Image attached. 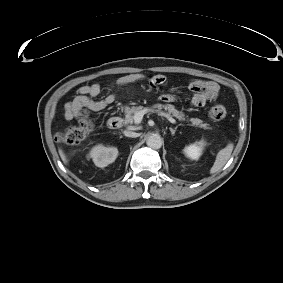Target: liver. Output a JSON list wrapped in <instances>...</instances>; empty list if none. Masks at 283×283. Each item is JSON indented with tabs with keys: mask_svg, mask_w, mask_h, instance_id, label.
<instances>
[{
	"mask_svg": "<svg viewBox=\"0 0 283 283\" xmlns=\"http://www.w3.org/2000/svg\"><path fill=\"white\" fill-rule=\"evenodd\" d=\"M59 155H60L62 161H63L65 164H67V163H68V159H67V157H66L64 151H63L61 148H59Z\"/></svg>",
	"mask_w": 283,
	"mask_h": 283,
	"instance_id": "6515ba94",
	"label": "liver"
}]
</instances>
